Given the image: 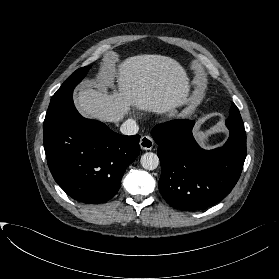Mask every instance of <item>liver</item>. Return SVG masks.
I'll return each instance as SVG.
<instances>
[{"label": "liver", "mask_w": 279, "mask_h": 279, "mask_svg": "<svg viewBox=\"0 0 279 279\" xmlns=\"http://www.w3.org/2000/svg\"><path fill=\"white\" fill-rule=\"evenodd\" d=\"M98 79L96 89L86 83L75 98L79 112L87 118L117 123L131 107L164 114L188 102L186 70L167 56L145 54L123 61L107 59Z\"/></svg>", "instance_id": "1"}]
</instances>
